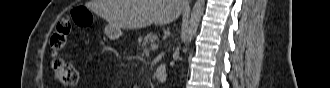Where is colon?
Wrapping results in <instances>:
<instances>
[{
    "mask_svg": "<svg viewBox=\"0 0 330 88\" xmlns=\"http://www.w3.org/2000/svg\"><path fill=\"white\" fill-rule=\"evenodd\" d=\"M92 21L91 15L82 7L74 8L70 16L60 18L54 32L49 39V47L52 55L51 68L55 79L63 86H74L79 79V73L75 65L58 57L68 42V36L72 32V22L80 27H87Z\"/></svg>",
    "mask_w": 330,
    "mask_h": 88,
    "instance_id": "1",
    "label": "colon"
}]
</instances>
